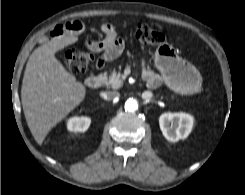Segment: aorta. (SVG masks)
<instances>
[{"instance_id":"1","label":"aorta","mask_w":245,"mask_h":195,"mask_svg":"<svg viewBox=\"0 0 245 195\" xmlns=\"http://www.w3.org/2000/svg\"><path fill=\"white\" fill-rule=\"evenodd\" d=\"M138 108V103L135 99L130 98L125 103V110L129 112H134Z\"/></svg>"}]
</instances>
